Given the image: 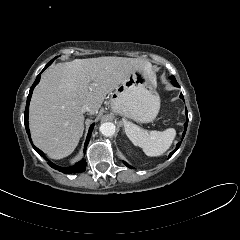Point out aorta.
<instances>
[{"label": "aorta", "mask_w": 240, "mask_h": 240, "mask_svg": "<svg viewBox=\"0 0 240 240\" xmlns=\"http://www.w3.org/2000/svg\"><path fill=\"white\" fill-rule=\"evenodd\" d=\"M99 129L104 136L110 137L115 134L116 126L112 122H104Z\"/></svg>", "instance_id": "obj_1"}]
</instances>
